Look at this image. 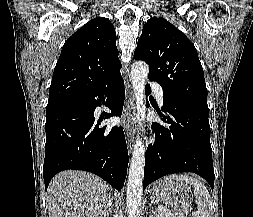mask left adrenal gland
<instances>
[{"mask_svg": "<svg viewBox=\"0 0 253 217\" xmlns=\"http://www.w3.org/2000/svg\"><path fill=\"white\" fill-rule=\"evenodd\" d=\"M154 203V199H151V204H149L150 207V217H155L156 215V210L154 207H152V204Z\"/></svg>", "mask_w": 253, "mask_h": 217, "instance_id": "obj_1", "label": "left adrenal gland"}]
</instances>
